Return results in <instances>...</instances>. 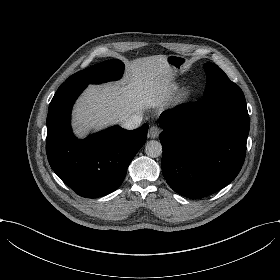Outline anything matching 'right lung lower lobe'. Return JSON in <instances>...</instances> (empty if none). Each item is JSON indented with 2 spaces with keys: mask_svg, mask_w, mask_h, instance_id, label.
Here are the masks:
<instances>
[{
  "mask_svg": "<svg viewBox=\"0 0 280 280\" xmlns=\"http://www.w3.org/2000/svg\"><path fill=\"white\" fill-rule=\"evenodd\" d=\"M85 83H63L48 109L46 152L58 177L78 195L97 198L115 191L146 141L148 125L135 130L111 127L84 140L71 130L72 106Z\"/></svg>",
  "mask_w": 280,
  "mask_h": 280,
  "instance_id": "obj_1",
  "label": "right lung lower lobe"
}]
</instances>
